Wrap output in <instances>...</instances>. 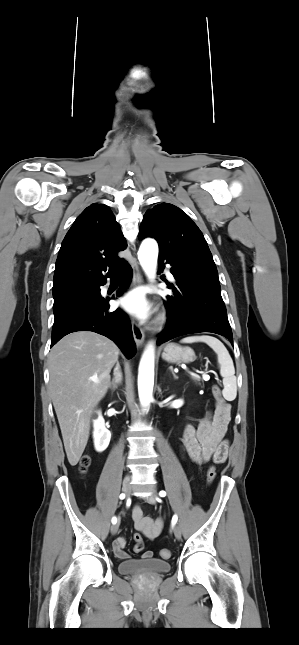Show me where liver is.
<instances>
[{
  "label": "liver",
  "mask_w": 299,
  "mask_h": 645,
  "mask_svg": "<svg viewBox=\"0 0 299 645\" xmlns=\"http://www.w3.org/2000/svg\"><path fill=\"white\" fill-rule=\"evenodd\" d=\"M118 355L111 340L90 331L65 336L50 352L49 392L72 466L87 445L92 412L110 387Z\"/></svg>",
  "instance_id": "liver-1"
}]
</instances>
